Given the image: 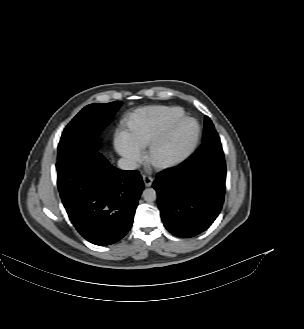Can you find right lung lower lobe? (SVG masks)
<instances>
[{
    "label": "right lung lower lobe",
    "instance_id": "right-lung-lower-lobe-1",
    "mask_svg": "<svg viewBox=\"0 0 304 329\" xmlns=\"http://www.w3.org/2000/svg\"><path fill=\"white\" fill-rule=\"evenodd\" d=\"M63 205L77 231L96 245H110L130 230L144 184L138 171H122L95 150L56 164Z\"/></svg>",
    "mask_w": 304,
    "mask_h": 329
}]
</instances>
